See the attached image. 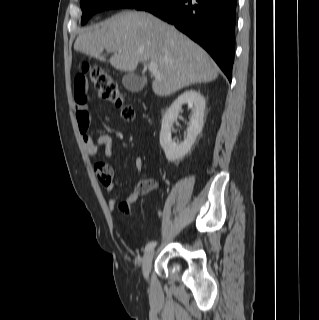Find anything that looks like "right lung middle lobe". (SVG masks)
Instances as JSON below:
<instances>
[{"instance_id":"obj_1","label":"right lung middle lobe","mask_w":319,"mask_h":320,"mask_svg":"<svg viewBox=\"0 0 319 320\" xmlns=\"http://www.w3.org/2000/svg\"><path fill=\"white\" fill-rule=\"evenodd\" d=\"M152 0H80L81 23L85 24L97 12L114 8H137Z\"/></svg>"}]
</instances>
